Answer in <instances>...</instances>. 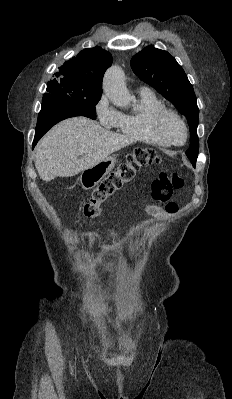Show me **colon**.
Listing matches in <instances>:
<instances>
[{
    "mask_svg": "<svg viewBox=\"0 0 232 399\" xmlns=\"http://www.w3.org/2000/svg\"><path fill=\"white\" fill-rule=\"evenodd\" d=\"M163 164L164 159L153 150L133 151L125 163L116 164V167L122 168V171L117 174H108L107 178L100 180V185H95L91 189L84 205V219H96L98 216V203H101L102 196H109L113 191H118V187L121 185H130V179H133V174L137 168H142L143 166L160 168ZM168 179L167 175H154L155 185L163 186H152L151 194H171L172 191H175V186L187 185V180H181V175H169ZM153 203H166V198H153ZM165 207L166 212H175L179 204L166 203Z\"/></svg>",
    "mask_w": 232,
    "mask_h": 399,
    "instance_id": "colon-1",
    "label": "colon"
}]
</instances>
